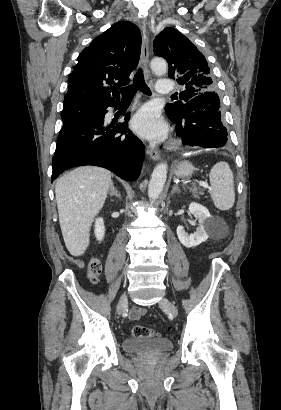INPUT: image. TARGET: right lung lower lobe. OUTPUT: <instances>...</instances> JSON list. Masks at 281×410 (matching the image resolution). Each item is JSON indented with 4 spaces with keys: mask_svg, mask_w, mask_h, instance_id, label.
<instances>
[{
    "mask_svg": "<svg viewBox=\"0 0 281 410\" xmlns=\"http://www.w3.org/2000/svg\"><path fill=\"white\" fill-rule=\"evenodd\" d=\"M109 106L117 108L119 100L98 107L96 114L60 130L53 157L52 182L64 170L83 165L107 168L124 180L133 181L139 177L144 145L127 129L129 113L124 123L109 130L111 126L104 123Z\"/></svg>",
    "mask_w": 281,
    "mask_h": 410,
    "instance_id": "1",
    "label": "right lung lower lobe"
}]
</instances>
